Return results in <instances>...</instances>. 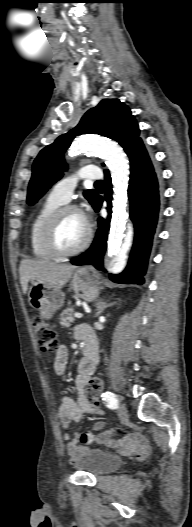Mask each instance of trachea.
<instances>
[{"label":"trachea","mask_w":192,"mask_h":527,"mask_svg":"<svg viewBox=\"0 0 192 527\" xmlns=\"http://www.w3.org/2000/svg\"><path fill=\"white\" fill-rule=\"evenodd\" d=\"M96 186H103V182L101 180L95 182Z\"/></svg>","instance_id":"3493384b"}]
</instances>
